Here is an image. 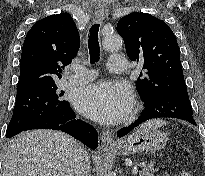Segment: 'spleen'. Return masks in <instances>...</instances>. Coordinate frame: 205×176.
I'll return each instance as SVG.
<instances>
[{
    "label": "spleen",
    "mask_w": 205,
    "mask_h": 176,
    "mask_svg": "<svg viewBox=\"0 0 205 176\" xmlns=\"http://www.w3.org/2000/svg\"><path fill=\"white\" fill-rule=\"evenodd\" d=\"M145 124L155 126V127H160L161 125L166 124V122L160 119H156V120L149 121L148 123Z\"/></svg>",
    "instance_id": "3e777b00"
}]
</instances>
